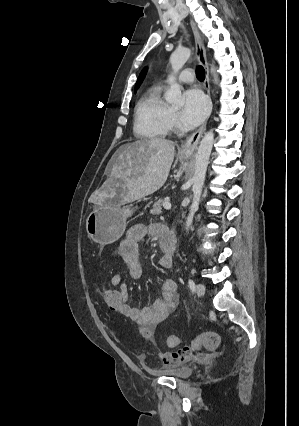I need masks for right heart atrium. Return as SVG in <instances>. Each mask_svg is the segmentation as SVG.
<instances>
[{
	"mask_svg": "<svg viewBox=\"0 0 299 426\" xmlns=\"http://www.w3.org/2000/svg\"><path fill=\"white\" fill-rule=\"evenodd\" d=\"M170 126H171V128H177V127L180 126V120L178 118V115L175 112H171Z\"/></svg>",
	"mask_w": 299,
	"mask_h": 426,
	"instance_id": "right-heart-atrium-1",
	"label": "right heart atrium"
}]
</instances>
